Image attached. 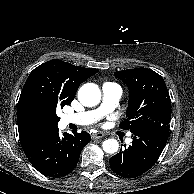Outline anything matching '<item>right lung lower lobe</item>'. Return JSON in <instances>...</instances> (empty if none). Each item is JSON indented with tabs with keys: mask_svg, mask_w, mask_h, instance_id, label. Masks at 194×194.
<instances>
[{
	"mask_svg": "<svg viewBox=\"0 0 194 194\" xmlns=\"http://www.w3.org/2000/svg\"><path fill=\"white\" fill-rule=\"evenodd\" d=\"M91 140L82 131L59 135L58 127L34 133L21 142L30 163L43 175L62 177L74 170L83 147Z\"/></svg>",
	"mask_w": 194,
	"mask_h": 194,
	"instance_id": "obj_1",
	"label": "right lung lower lobe"
}]
</instances>
